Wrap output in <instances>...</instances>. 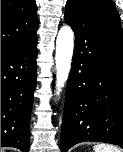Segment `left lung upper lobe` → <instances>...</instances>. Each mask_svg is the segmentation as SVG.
Instances as JSON below:
<instances>
[{"label": "left lung upper lobe", "instance_id": "5c2ea615", "mask_svg": "<svg viewBox=\"0 0 123 152\" xmlns=\"http://www.w3.org/2000/svg\"><path fill=\"white\" fill-rule=\"evenodd\" d=\"M77 13L122 40L119 15L111 0H69L65 14Z\"/></svg>", "mask_w": 123, "mask_h": 152}]
</instances>
